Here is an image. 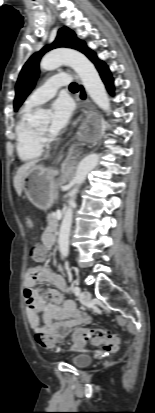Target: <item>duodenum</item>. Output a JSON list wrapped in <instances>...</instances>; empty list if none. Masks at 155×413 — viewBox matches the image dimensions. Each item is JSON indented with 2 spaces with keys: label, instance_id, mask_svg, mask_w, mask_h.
<instances>
[{
  "label": "duodenum",
  "instance_id": "obj_1",
  "mask_svg": "<svg viewBox=\"0 0 155 413\" xmlns=\"http://www.w3.org/2000/svg\"><path fill=\"white\" fill-rule=\"evenodd\" d=\"M52 239H53L52 243L54 244L56 241V232L54 230L52 231Z\"/></svg>",
  "mask_w": 155,
  "mask_h": 413
}]
</instances>
